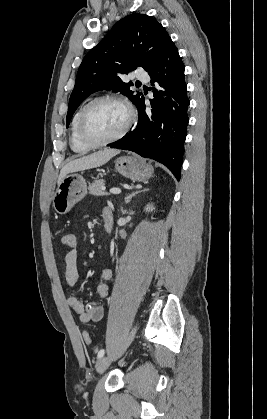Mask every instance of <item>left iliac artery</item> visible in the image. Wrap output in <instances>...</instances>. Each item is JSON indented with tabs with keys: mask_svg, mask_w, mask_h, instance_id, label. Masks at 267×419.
<instances>
[{
	"mask_svg": "<svg viewBox=\"0 0 267 419\" xmlns=\"http://www.w3.org/2000/svg\"><path fill=\"white\" fill-rule=\"evenodd\" d=\"M104 353H105V350H104V349H101V350L98 352L97 357H98V358L103 357Z\"/></svg>",
	"mask_w": 267,
	"mask_h": 419,
	"instance_id": "1",
	"label": "left iliac artery"
}]
</instances>
